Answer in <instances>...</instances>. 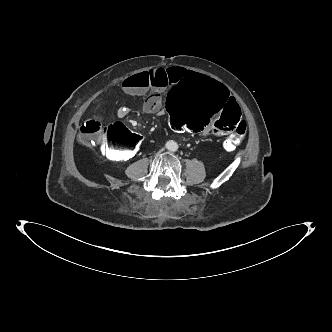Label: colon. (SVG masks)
<instances>
[{
  "mask_svg": "<svg viewBox=\"0 0 332 332\" xmlns=\"http://www.w3.org/2000/svg\"><path fill=\"white\" fill-rule=\"evenodd\" d=\"M166 116L179 132L202 136L230 133L223 142L226 150L238 147L247 132L238 100L219 81L200 73L187 74L178 81L169 94ZM79 138L88 146L109 143L105 152L117 160L136 155L142 143L140 135L120 125L104 130L96 119L81 125Z\"/></svg>",
  "mask_w": 332,
  "mask_h": 332,
  "instance_id": "1",
  "label": "colon"
}]
</instances>
